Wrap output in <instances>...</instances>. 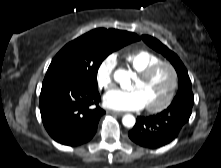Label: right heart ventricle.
I'll list each match as a JSON object with an SVG mask.
<instances>
[{
	"label": "right heart ventricle",
	"mask_w": 221,
	"mask_h": 168,
	"mask_svg": "<svg viewBox=\"0 0 221 168\" xmlns=\"http://www.w3.org/2000/svg\"><path fill=\"white\" fill-rule=\"evenodd\" d=\"M125 61L130 69L140 73L149 66L162 61V59L148 50H138L128 53L125 56Z\"/></svg>",
	"instance_id": "e07e8e85"
}]
</instances>
